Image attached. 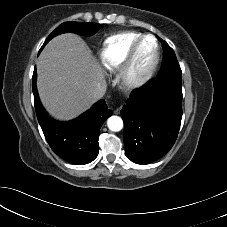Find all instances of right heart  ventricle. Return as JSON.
Masks as SVG:
<instances>
[{"instance_id":"obj_1","label":"right heart ventricle","mask_w":227,"mask_h":227,"mask_svg":"<svg viewBox=\"0 0 227 227\" xmlns=\"http://www.w3.org/2000/svg\"><path fill=\"white\" fill-rule=\"evenodd\" d=\"M142 35V33L135 31H125L106 38L99 51V58L102 65L109 71L119 69L133 44Z\"/></svg>"}]
</instances>
